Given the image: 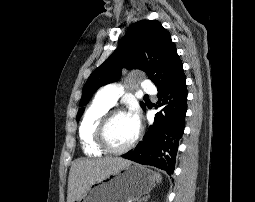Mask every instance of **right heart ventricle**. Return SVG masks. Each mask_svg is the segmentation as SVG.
I'll use <instances>...</instances> for the list:
<instances>
[{"label":"right heart ventricle","instance_id":"right-heart-ventricle-1","mask_svg":"<svg viewBox=\"0 0 255 202\" xmlns=\"http://www.w3.org/2000/svg\"><path fill=\"white\" fill-rule=\"evenodd\" d=\"M110 107L109 104L96 97L82 117L79 139L84 153L89 156H101L104 153L95 142V131L100 119Z\"/></svg>","mask_w":255,"mask_h":202}]
</instances>
